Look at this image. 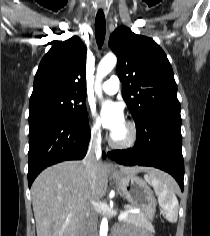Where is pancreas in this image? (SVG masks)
Returning <instances> with one entry per match:
<instances>
[{
	"label": "pancreas",
	"instance_id": "1",
	"mask_svg": "<svg viewBox=\"0 0 210 236\" xmlns=\"http://www.w3.org/2000/svg\"><path fill=\"white\" fill-rule=\"evenodd\" d=\"M125 208H132L131 205H125ZM124 223H130L142 228H146L149 231H154V228L150 221L147 219L144 213L139 212V213H128L127 217L123 219Z\"/></svg>",
	"mask_w": 210,
	"mask_h": 236
}]
</instances>
